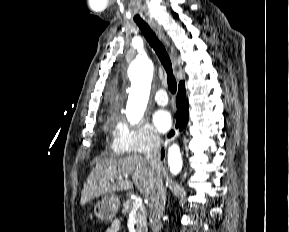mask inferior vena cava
Returning a JSON list of instances; mask_svg holds the SVG:
<instances>
[{
	"instance_id": "1",
	"label": "inferior vena cava",
	"mask_w": 289,
	"mask_h": 232,
	"mask_svg": "<svg viewBox=\"0 0 289 232\" xmlns=\"http://www.w3.org/2000/svg\"><path fill=\"white\" fill-rule=\"evenodd\" d=\"M161 139L159 135L155 134L151 137L149 147L145 153V158L149 161L151 166L160 169L162 167L160 159ZM166 203V189L163 185L162 176L159 175L155 188L150 194L149 202V222L153 232H160L162 228L161 215L164 211Z\"/></svg>"
}]
</instances>
